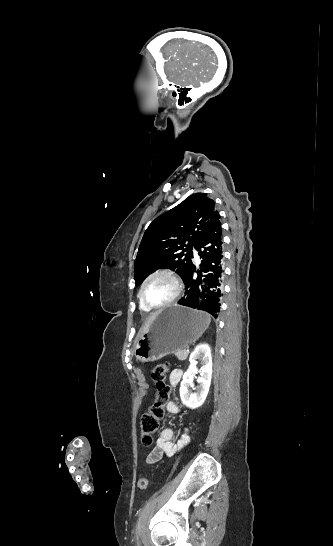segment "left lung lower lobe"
<instances>
[{
  "label": "left lung lower lobe",
  "mask_w": 333,
  "mask_h": 546,
  "mask_svg": "<svg viewBox=\"0 0 333 546\" xmlns=\"http://www.w3.org/2000/svg\"><path fill=\"white\" fill-rule=\"evenodd\" d=\"M195 248L201 259V271H197L199 278H195L196 267L192 264L183 280L185 296L178 304L206 311L217 318L221 309L224 274L220 215L202 234Z\"/></svg>",
  "instance_id": "obj_1"
}]
</instances>
